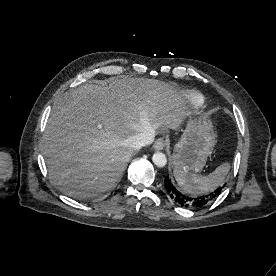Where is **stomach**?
Segmentation results:
<instances>
[{"instance_id": "obj_1", "label": "stomach", "mask_w": 276, "mask_h": 276, "mask_svg": "<svg viewBox=\"0 0 276 276\" xmlns=\"http://www.w3.org/2000/svg\"><path fill=\"white\" fill-rule=\"evenodd\" d=\"M213 124L206 116L190 119L174 146L171 162L176 170L200 172L215 146Z\"/></svg>"}]
</instances>
